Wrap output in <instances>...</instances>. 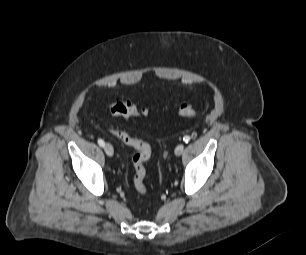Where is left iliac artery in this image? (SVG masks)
<instances>
[{"instance_id":"1","label":"left iliac artery","mask_w":306,"mask_h":255,"mask_svg":"<svg viewBox=\"0 0 306 255\" xmlns=\"http://www.w3.org/2000/svg\"><path fill=\"white\" fill-rule=\"evenodd\" d=\"M183 141H184L185 143H188V142L190 141V136H188V135L184 136V137H183Z\"/></svg>"}]
</instances>
